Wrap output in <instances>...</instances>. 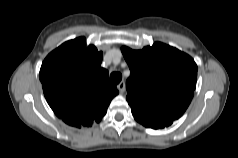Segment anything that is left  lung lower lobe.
I'll list each match as a JSON object with an SVG mask.
<instances>
[{"label": "left lung lower lobe", "instance_id": "left-lung-lower-lobe-1", "mask_svg": "<svg viewBox=\"0 0 238 158\" xmlns=\"http://www.w3.org/2000/svg\"><path fill=\"white\" fill-rule=\"evenodd\" d=\"M136 121L148 128L159 129L169 126L176 119H151L138 115H133Z\"/></svg>", "mask_w": 238, "mask_h": 158}]
</instances>
